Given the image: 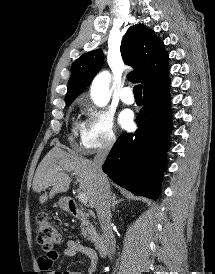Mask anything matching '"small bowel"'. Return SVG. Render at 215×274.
Segmentation results:
<instances>
[{
  "label": "small bowel",
  "instance_id": "c3829d8e",
  "mask_svg": "<svg viewBox=\"0 0 215 274\" xmlns=\"http://www.w3.org/2000/svg\"><path fill=\"white\" fill-rule=\"evenodd\" d=\"M78 254H84L90 260L88 273L92 274L97 269L98 256L96 251L88 246L82 245L80 242L69 239L66 241V247L60 251H44L38 259L40 269L47 274H81L75 271L57 272L53 270L55 262L62 257H76Z\"/></svg>",
  "mask_w": 215,
  "mask_h": 274
}]
</instances>
